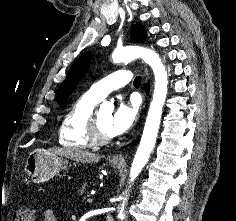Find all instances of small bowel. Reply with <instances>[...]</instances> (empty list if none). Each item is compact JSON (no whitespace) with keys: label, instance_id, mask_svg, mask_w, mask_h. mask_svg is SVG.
<instances>
[{"label":"small bowel","instance_id":"c3829d8e","mask_svg":"<svg viewBox=\"0 0 236 221\" xmlns=\"http://www.w3.org/2000/svg\"><path fill=\"white\" fill-rule=\"evenodd\" d=\"M43 221H57L56 212L54 209H47L43 214Z\"/></svg>","mask_w":236,"mask_h":221}]
</instances>
